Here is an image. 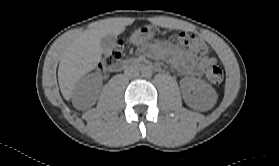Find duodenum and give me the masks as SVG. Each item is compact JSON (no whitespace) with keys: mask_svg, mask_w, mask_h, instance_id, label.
<instances>
[{"mask_svg":"<svg viewBox=\"0 0 279 166\" xmlns=\"http://www.w3.org/2000/svg\"><path fill=\"white\" fill-rule=\"evenodd\" d=\"M129 66H135V67H139L142 69H151L152 66L147 64L144 61H132V62H127V61H120L118 63H116L113 67L114 71H122L125 68L129 67Z\"/></svg>","mask_w":279,"mask_h":166,"instance_id":"obj_1","label":"duodenum"}]
</instances>
